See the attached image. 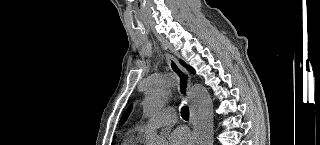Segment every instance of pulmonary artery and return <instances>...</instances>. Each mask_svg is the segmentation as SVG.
Masks as SVG:
<instances>
[{
	"label": "pulmonary artery",
	"mask_w": 320,
	"mask_h": 145,
	"mask_svg": "<svg viewBox=\"0 0 320 145\" xmlns=\"http://www.w3.org/2000/svg\"><path fill=\"white\" fill-rule=\"evenodd\" d=\"M177 117L174 109L167 108L158 113L148 124L140 125L137 131L143 134L147 129H157L165 126H172L176 123Z\"/></svg>",
	"instance_id": "obj_1"
}]
</instances>
